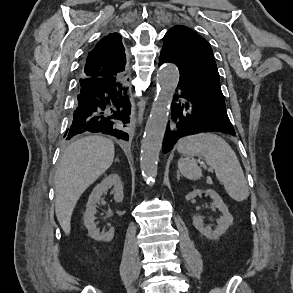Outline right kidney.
Listing matches in <instances>:
<instances>
[{"label": "right kidney", "instance_id": "right-kidney-1", "mask_svg": "<svg viewBox=\"0 0 293 293\" xmlns=\"http://www.w3.org/2000/svg\"><path fill=\"white\" fill-rule=\"evenodd\" d=\"M113 188L115 202H122L124 198L123 186L121 179L117 174H111L104 178L101 183L97 184L89 196L86 212L84 214V225L88 229L91 238L97 241L109 242L114 237V229L111 228L108 232H100L96 227L95 214L97 203L100 202L101 197L108 189Z\"/></svg>", "mask_w": 293, "mask_h": 293}]
</instances>
